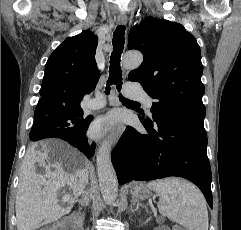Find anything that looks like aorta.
<instances>
[{"label": "aorta", "instance_id": "762f6f07", "mask_svg": "<svg viewBox=\"0 0 241 230\" xmlns=\"http://www.w3.org/2000/svg\"><path fill=\"white\" fill-rule=\"evenodd\" d=\"M143 61L140 52H128L123 58V67L125 69H135ZM97 172L99 186L104 201L108 204L112 203L118 194V181L116 172L111 161V144L105 141L100 146L97 157Z\"/></svg>", "mask_w": 241, "mask_h": 230}]
</instances>
